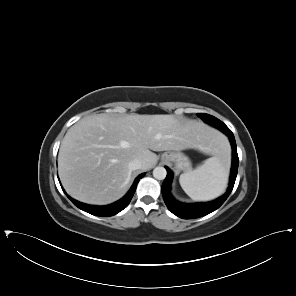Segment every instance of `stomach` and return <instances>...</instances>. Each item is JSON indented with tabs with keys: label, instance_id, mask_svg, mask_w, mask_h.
I'll use <instances>...</instances> for the list:
<instances>
[{
	"label": "stomach",
	"instance_id": "obj_1",
	"mask_svg": "<svg viewBox=\"0 0 296 296\" xmlns=\"http://www.w3.org/2000/svg\"><path fill=\"white\" fill-rule=\"evenodd\" d=\"M161 159L166 162L174 163L178 171L187 172L191 170L190 159L180 151H168L162 154Z\"/></svg>",
	"mask_w": 296,
	"mask_h": 296
}]
</instances>
